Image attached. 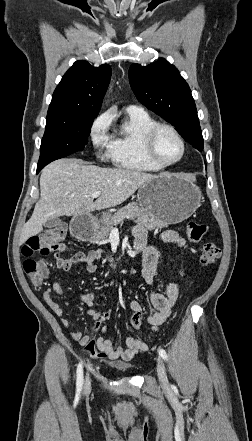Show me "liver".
Instances as JSON below:
<instances>
[{
    "mask_svg": "<svg viewBox=\"0 0 252 441\" xmlns=\"http://www.w3.org/2000/svg\"><path fill=\"white\" fill-rule=\"evenodd\" d=\"M154 177L136 170L86 165L79 159L54 161L41 172L40 199L23 226L19 243L39 234L49 219L120 205ZM97 191L101 195L93 201L92 194Z\"/></svg>",
    "mask_w": 252,
    "mask_h": 441,
    "instance_id": "liver-1",
    "label": "liver"
}]
</instances>
